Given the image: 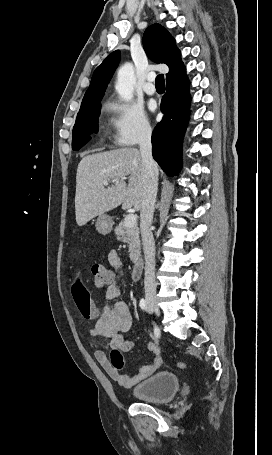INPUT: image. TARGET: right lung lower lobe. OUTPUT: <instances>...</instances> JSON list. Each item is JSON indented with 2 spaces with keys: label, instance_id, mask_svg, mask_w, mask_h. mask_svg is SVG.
Here are the masks:
<instances>
[{
  "label": "right lung lower lobe",
  "instance_id": "98d812e1",
  "mask_svg": "<svg viewBox=\"0 0 272 455\" xmlns=\"http://www.w3.org/2000/svg\"><path fill=\"white\" fill-rule=\"evenodd\" d=\"M189 80L186 72L168 80L161 101L164 114L152 134L153 157L168 176L177 175L182 166V139L189 119Z\"/></svg>",
  "mask_w": 272,
  "mask_h": 455
}]
</instances>
